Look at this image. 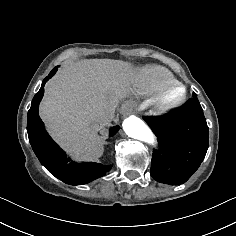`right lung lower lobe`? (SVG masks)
<instances>
[{
	"label": "right lung lower lobe",
	"instance_id": "98d812e1",
	"mask_svg": "<svg viewBox=\"0 0 236 236\" xmlns=\"http://www.w3.org/2000/svg\"><path fill=\"white\" fill-rule=\"evenodd\" d=\"M57 71V66L43 80L40 90L32 100L27 115V132L30 144L41 164L55 177L70 185H82L104 176L111 165L94 162L75 163L67 158L62 149L46 132L38 114L39 103L44 94V85ZM119 126L110 130V137L117 133Z\"/></svg>",
	"mask_w": 236,
	"mask_h": 236
}]
</instances>
